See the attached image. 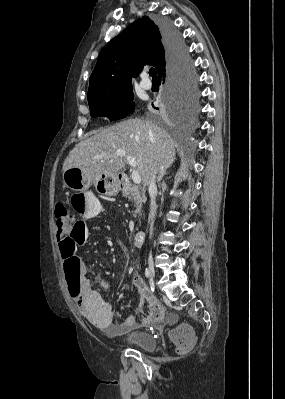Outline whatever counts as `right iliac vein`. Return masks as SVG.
<instances>
[{"instance_id":"obj_1","label":"right iliac vein","mask_w":285,"mask_h":399,"mask_svg":"<svg viewBox=\"0 0 285 399\" xmlns=\"http://www.w3.org/2000/svg\"><path fill=\"white\" fill-rule=\"evenodd\" d=\"M148 267H149V275L151 279L153 280L155 277V267H154V260L152 256H149L148 258Z\"/></svg>"}]
</instances>
